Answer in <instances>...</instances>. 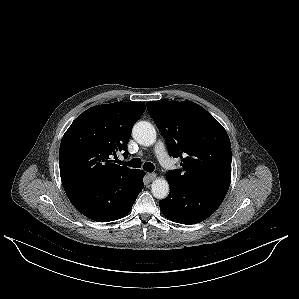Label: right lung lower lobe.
Listing matches in <instances>:
<instances>
[{
    "label": "right lung lower lobe",
    "instance_id": "right-lung-lower-lobe-1",
    "mask_svg": "<svg viewBox=\"0 0 299 299\" xmlns=\"http://www.w3.org/2000/svg\"><path fill=\"white\" fill-rule=\"evenodd\" d=\"M144 172L139 170L134 183L125 178L106 177L96 181L63 185L74 207L97 222H109L125 216L144 187Z\"/></svg>",
    "mask_w": 299,
    "mask_h": 299
}]
</instances>
